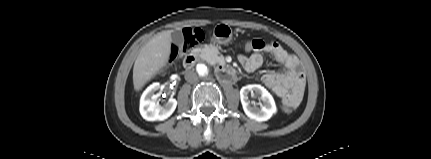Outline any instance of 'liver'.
I'll use <instances>...</instances> for the list:
<instances>
[{
    "instance_id": "6515ba94",
    "label": "liver",
    "mask_w": 431,
    "mask_h": 159,
    "mask_svg": "<svg viewBox=\"0 0 431 159\" xmlns=\"http://www.w3.org/2000/svg\"><path fill=\"white\" fill-rule=\"evenodd\" d=\"M171 31H162L149 40L140 50L133 67V85L141 90L169 60L171 54Z\"/></svg>"
}]
</instances>
